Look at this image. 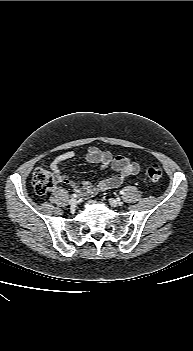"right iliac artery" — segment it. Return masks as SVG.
Masks as SVG:
<instances>
[{
	"label": "right iliac artery",
	"mask_w": 193,
	"mask_h": 351,
	"mask_svg": "<svg viewBox=\"0 0 193 351\" xmlns=\"http://www.w3.org/2000/svg\"><path fill=\"white\" fill-rule=\"evenodd\" d=\"M71 197H72V198H77L78 196H77V194H72Z\"/></svg>",
	"instance_id": "obj_1"
}]
</instances>
